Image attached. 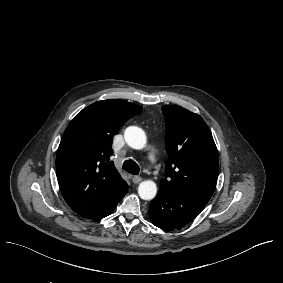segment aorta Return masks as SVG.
Masks as SVG:
<instances>
[{"instance_id": "762f6f07", "label": "aorta", "mask_w": 283, "mask_h": 283, "mask_svg": "<svg viewBox=\"0 0 283 283\" xmlns=\"http://www.w3.org/2000/svg\"><path fill=\"white\" fill-rule=\"evenodd\" d=\"M126 143L133 149L141 150L146 146L147 137L145 132L137 126H129L124 132ZM157 193L156 183L152 180H145L139 184L138 194L143 200H152Z\"/></svg>"}]
</instances>
